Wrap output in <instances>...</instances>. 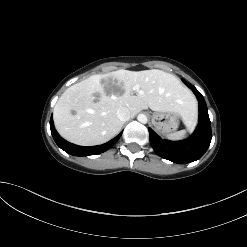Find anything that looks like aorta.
<instances>
[{
  "instance_id": "1",
  "label": "aorta",
  "mask_w": 247,
  "mask_h": 247,
  "mask_svg": "<svg viewBox=\"0 0 247 247\" xmlns=\"http://www.w3.org/2000/svg\"><path fill=\"white\" fill-rule=\"evenodd\" d=\"M137 120L143 124H146L148 121L147 116L145 114H139Z\"/></svg>"
}]
</instances>
